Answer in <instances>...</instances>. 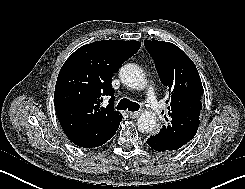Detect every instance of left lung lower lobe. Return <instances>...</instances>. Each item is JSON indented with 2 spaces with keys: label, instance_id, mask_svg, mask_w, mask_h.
I'll return each instance as SVG.
<instances>
[{
  "label": "left lung lower lobe",
  "instance_id": "1",
  "mask_svg": "<svg viewBox=\"0 0 245 189\" xmlns=\"http://www.w3.org/2000/svg\"><path fill=\"white\" fill-rule=\"evenodd\" d=\"M148 145L158 152L174 151L175 147L168 144L164 139H161L157 134L151 135L147 140Z\"/></svg>",
  "mask_w": 245,
  "mask_h": 189
}]
</instances>
